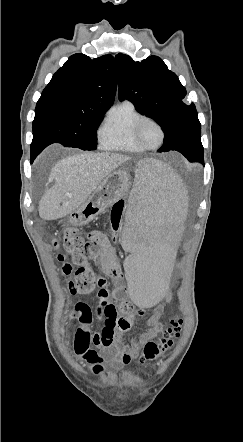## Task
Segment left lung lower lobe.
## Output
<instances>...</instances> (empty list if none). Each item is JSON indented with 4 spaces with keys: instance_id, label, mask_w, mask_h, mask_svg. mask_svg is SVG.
I'll return each instance as SVG.
<instances>
[{
    "instance_id": "0a47b994",
    "label": "left lung lower lobe",
    "mask_w": 243,
    "mask_h": 442,
    "mask_svg": "<svg viewBox=\"0 0 243 442\" xmlns=\"http://www.w3.org/2000/svg\"><path fill=\"white\" fill-rule=\"evenodd\" d=\"M203 146L201 142L195 143L190 147L181 150L182 153L190 161H199L203 163Z\"/></svg>"
}]
</instances>
